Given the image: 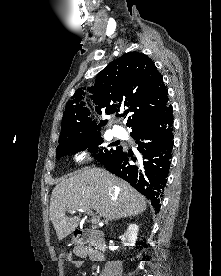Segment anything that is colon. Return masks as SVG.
Instances as JSON below:
<instances>
[{
    "label": "colon",
    "instance_id": "colon-1",
    "mask_svg": "<svg viewBox=\"0 0 221 276\" xmlns=\"http://www.w3.org/2000/svg\"><path fill=\"white\" fill-rule=\"evenodd\" d=\"M60 259L63 262H71L72 261V253L70 251L63 252L60 255Z\"/></svg>",
    "mask_w": 221,
    "mask_h": 276
}]
</instances>
